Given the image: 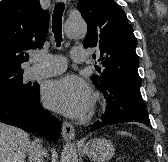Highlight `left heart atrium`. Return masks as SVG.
I'll return each mask as SVG.
<instances>
[{"mask_svg":"<svg viewBox=\"0 0 168 162\" xmlns=\"http://www.w3.org/2000/svg\"><path fill=\"white\" fill-rule=\"evenodd\" d=\"M43 100L50 109L70 117H80L89 110L92 94L85 81L67 75L46 84Z\"/></svg>","mask_w":168,"mask_h":162,"instance_id":"left-heart-atrium-1","label":"left heart atrium"}]
</instances>
